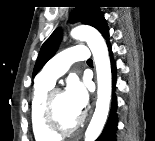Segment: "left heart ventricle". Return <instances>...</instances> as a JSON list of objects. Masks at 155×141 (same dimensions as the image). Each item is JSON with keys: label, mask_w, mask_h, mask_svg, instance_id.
Instances as JSON below:
<instances>
[{"label": "left heart ventricle", "mask_w": 155, "mask_h": 141, "mask_svg": "<svg viewBox=\"0 0 155 141\" xmlns=\"http://www.w3.org/2000/svg\"><path fill=\"white\" fill-rule=\"evenodd\" d=\"M54 112L57 120L64 127L74 125L79 119V115L71 108L64 93L55 96Z\"/></svg>", "instance_id": "b2bd125f"}]
</instances>
